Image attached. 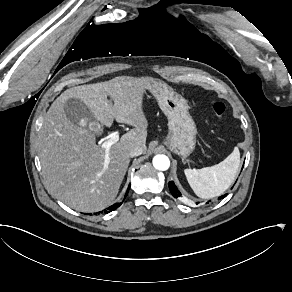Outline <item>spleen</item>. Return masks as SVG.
I'll return each instance as SVG.
<instances>
[{"label":"spleen","mask_w":292,"mask_h":292,"mask_svg":"<svg viewBox=\"0 0 292 292\" xmlns=\"http://www.w3.org/2000/svg\"><path fill=\"white\" fill-rule=\"evenodd\" d=\"M240 164L238 148L221 163L201 169L185 168L184 174L194 191L201 198H212L223 193L234 181Z\"/></svg>","instance_id":"obj_1"}]
</instances>
